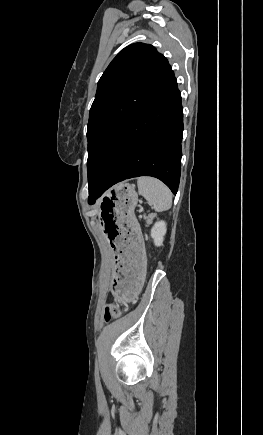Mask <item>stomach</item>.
I'll return each mask as SVG.
<instances>
[{
	"label": "stomach",
	"mask_w": 263,
	"mask_h": 435,
	"mask_svg": "<svg viewBox=\"0 0 263 435\" xmlns=\"http://www.w3.org/2000/svg\"><path fill=\"white\" fill-rule=\"evenodd\" d=\"M138 194L133 186L120 183L101 199L100 233L113 247L114 279H111L117 305H130L145 287V238L136 216Z\"/></svg>",
	"instance_id": "1"
}]
</instances>
